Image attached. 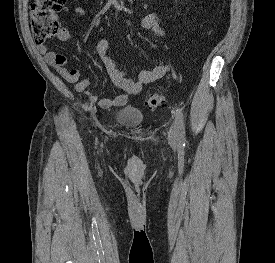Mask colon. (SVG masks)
I'll return each instance as SVG.
<instances>
[{
    "label": "colon",
    "instance_id": "5ec220e1",
    "mask_svg": "<svg viewBox=\"0 0 275 263\" xmlns=\"http://www.w3.org/2000/svg\"><path fill=\"white\" fill-rule=\"evenodd\" d=\"M66 0H33L30 11L31 32L36 44L41 45L60 31L57 19ZM143 104L148 108H159L165 104L161 94H147L143 97Z\"/></svg>",
    "mask_w": 275,
    "mask_h": 263
}]
</instances>
